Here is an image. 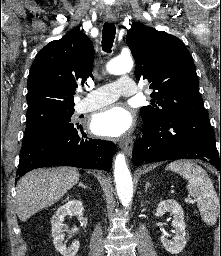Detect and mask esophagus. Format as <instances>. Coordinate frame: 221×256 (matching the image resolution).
I'll return each mask as SVG.
<instances>
[{
  "instance_id": "1",
  "label": "esophagus",
  "mask_w": 221,
  "mask_h": 256,
  "mask_svg": "<svg viewBox=\"0 0 221 256\" xmlns=\"http://www.w3.org/2000/svg\"><path fill=\"white\" fill-rule=\"evenodd\" d=\"M108 22H114L115 18L112 16L107 17ZM120 148L126 153V155L130 156L133 149V138L132 137H126L124 139H121L119 142Z\"/></svg>"
}]
</instances>
